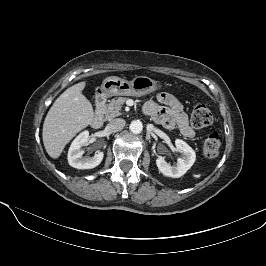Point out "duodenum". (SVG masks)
<instances>
[{"mask_svg": "<svg viewBox=\"0 0 266 266\" xmlns=\"http://www.w3.org/2000/svg\"><path fill=\"white\" fill-rule=\"evenodd\" d=\"M106 100V95L104 92H97L94 97V103H95V112L91 119V126L93 128H100L103 124V114H102V108Z\"/></svg>", "mask_w": 266, "mask_h": 266, "instance_id": "410a0bca", "label": "duodenum"}]
</instances>
